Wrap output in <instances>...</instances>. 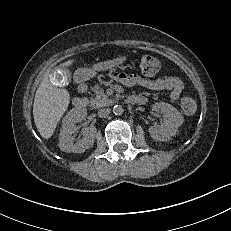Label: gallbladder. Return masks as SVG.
Segmentation results:
<instances>
[{"mask_svg":"<svg viewBox=\"0 0 231 231\" xmlns=\"http://www.w3.org/2000/svg\"><path fill=\"white\" fill-rule=\"evenodd\" d=\"M49 81L55 87H66L71 82V73L66 68L55 67L49 74Z\"/></svg>","mask_w":231,"mask_h":231,"instance_id":"1","label":"gallbladder"}]
</instances>
